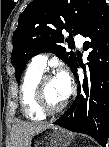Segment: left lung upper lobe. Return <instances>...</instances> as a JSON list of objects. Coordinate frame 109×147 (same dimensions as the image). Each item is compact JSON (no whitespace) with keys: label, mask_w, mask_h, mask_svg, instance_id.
<instances>
[{"label":"left lung upper lobe","mask_w":109,"mask_h":147,"mask_svg":"<svg viewBox=\"0 0 109 147\" xmlns=\"http://www.w3.org/2000/svg\"><path fill=\"white\" fill-rule=\"evenodd\" d=\"M104 0H33L19 17L14 31L11 62L15 67V77L20 81L24 67L35 55L52 52L58 55L72 70L77 65L74 53L62 46L63 30L81 34L92 20ZM92 90L100 88L103 77L99 73L89 75Z\"/></svg>","instance_id":"left-lung-upper-lobe-1"}]
</instances>
